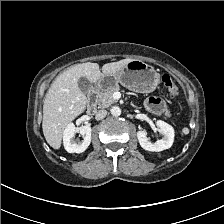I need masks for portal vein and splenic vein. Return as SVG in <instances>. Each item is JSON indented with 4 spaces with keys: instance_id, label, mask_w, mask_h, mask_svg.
I'll return each instance as SVG.
<instances>
[{
    "instance_id": "obj_1",
    "label": "portal vein and splenic vein",
    "mask_w": 224,
    "mask_h": 224,
    "mask_svg": "<svg viewBox=\"0 0 224 224\" xmlns=\"http://www.w3.org/2000/svg\"><path fill=\"white\" fill-rule=\"evenodd\" d=\"M114 95H115V99H119L121 97L119 92H115Z\"/></svg>"
}]
</instances>
